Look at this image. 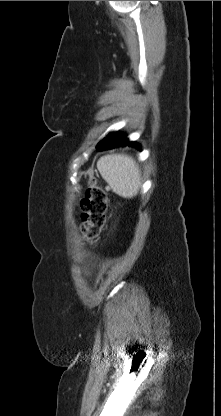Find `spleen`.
<instances>
[{"label": "spleen", "instance_id": "3e777b00", "mask_svg": "<svg viewBox=\"0 0 221 416\" xmlns=\"http://www.w3.org/2000/svg\"><path fill=\"white\" fill-rule=\"evenodd\" d=\"M97 169L119 196L132 198L138 193L141 173L132 157L125 154L103 156L97 162Z\"/></svg>", "mask_w": 221, "mask_h": 416}]
</instances>
